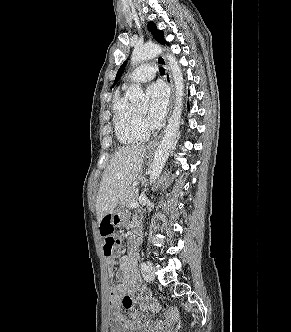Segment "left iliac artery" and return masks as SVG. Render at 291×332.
Instances as JSON below:
<instances>
[{"label": "left iliac artery", "mask_w": 291, "mask_h": 332, "mask_svg": "<svg viewBox=\"0 0 291 332\" xmlns=\"http://www.w3.org/2000/svg\"><path fill=\"white\" fill-rule=\"evenodd\" d=\"M140 266H141V269H142L143 271H146V270H147V265H146L145 262H142V263L140 264Z\"/></svg>", "instance_id": "44dca946"}]
</instances>
